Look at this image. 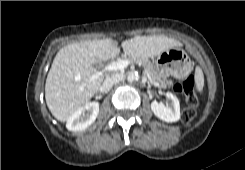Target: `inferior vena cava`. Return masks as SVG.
<instances>
[{
  "label": "inferior vena cava",
  "mask_w": 245,
  "mask_h": 170,
  "mask_svg": "<svg viewBox=\"0 0 245 170\" xmlns=\"http://www.w3.org/2000/svg\"><path fill=\"white\" fill-rule=\"evenodd\" d=\"M124 79V75L123 74H112L110 76H107L106 79L103 82V86L105 88H111L113 87L116 83L122 81Z\"/></svg>",
  "instance_id": "inferior-vena-cava-1"
}]
</instances>
